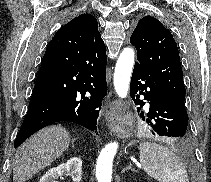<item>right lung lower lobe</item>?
I'll list each match as a JSON object with an SVG mask.
<instances>
[{
  "instance_id": "1",
  "label": "right lung lower lobe",
  "mask_w": 211,
  "mask_h": 182,
  "mask_svg": "<svg viewBox=\"0 0 211 182\" xmlns=\"http://www.w3.org/2000/svg\"><path fill=\"white\" fill-rule=\"evenodd\" d=\"M106 65L102 38L86 42L52 39L15 147L43 127L61 121L96 131L101 102L107 94Z\"/></svg>"
}]
</instances>
